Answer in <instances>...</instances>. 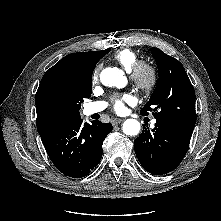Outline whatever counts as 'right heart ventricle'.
Here are the masks:
<instances>
[{
  "label": "right heart ventricle",
  "mask_w": 221,
  "mask_h": 221,
  "mask_svg": "<svg viewBox=\"0 0 221 221\" xmlns=\"http://www.w3.org/2000/svg\"><path fill=\"white\" fill-rule=\"evenodd\" d=\"M114 59L125 71L131 72L135 62L138 61V56L133 50L122 48L114 54Z\"/></svg>",
  "instance_id": "obj_1"
}]
</instances>
